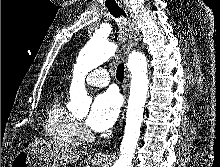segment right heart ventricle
<instances>
[{
	"label": "right heart ventricle",
	"instance_id": "obj_1",
	"mask_svg": "<svg viewBox=\"0 0 220 167\" xmlns=\"http://www.w3.org/2000/svg\"><path fill=\"white\" fill-rule=\"evenodd\" d=\"M44 130L46 135L58 145L74 146L78 142V122L75 116L65 107L60 96H56L50 103Z\"/></svg>",
	"mask_w": 220,
	"mask_h": 167
}]
</instances>
